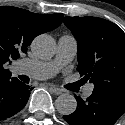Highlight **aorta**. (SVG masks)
<instances>
[{
  "label": "aorta",
  "instance_id": "762f6f07",
  "mask_svg": "<svg viewBox=\"0 0 125 125\" xmlns=\"http://www.w3.org/2000/svg\"><path fill=\"white\" fill-rule=\"evenodd\" d=\"M31 49L38 58L48 59L55 54L56 44L51 36L42 34L33 40ZM55 106L60 114L69 115L75 112L77 102L74 96L62 94L56 99Z\"/></svg>",
  "mask_w": 125,
  "mask_h": 125
}]
</instances>
